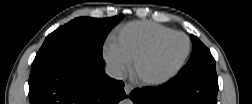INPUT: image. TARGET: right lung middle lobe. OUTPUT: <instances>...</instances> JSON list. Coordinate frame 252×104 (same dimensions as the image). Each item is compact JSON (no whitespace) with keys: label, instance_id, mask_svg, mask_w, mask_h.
Wrapping results in <instances>:
<instances>
[{"label":"right lung middle lobe","instance_id":"dd1d6c3e","mask_svg":"<svg viewBox=\"0 0 252 104\" xmlns=\"http://www.w3.org/2000/svg\"><path fill=\"white\" fill-rule=\"evenodd\" d=\"M122 18V14L105 19L75 18L49 34L35 58L66 50H80L102 58L104 41Z\"/></svg>","mask_w":252,"mask_h":104}]
</instances>
